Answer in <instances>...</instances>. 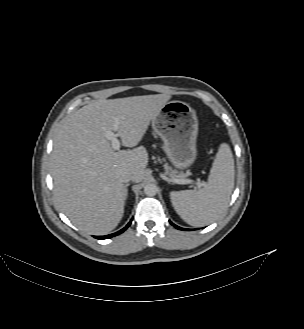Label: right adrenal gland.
<instances>
[{
    "instance_id": "right-adrenal-gland-1",
    "label": "right adrenal gland",
    "mask_w": 304,
    "mask_h": 329,
    "mask_svg": "<svg viewBox=\"0 0 304 329\" xmlns=\"http://www.w3.org/2000/svg\"><path fill=\"white\" fill-rule=\"evenodd\" d=\"M129 186V184H126L124 187H125V192H126V197H127V195H128V189H127V187Z\"/></svg>"
}]
</instances>
